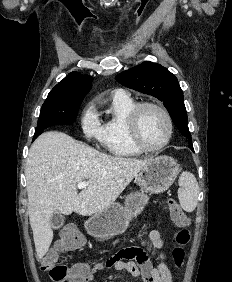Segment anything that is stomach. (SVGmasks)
<instances>
[{"mask_svg":"<svg viewBox=\"0 0 232 282\" xmlns=\"http://www.w3.org/2000/svg\"><path fill=\"white\" fill-rule=\"evenodd\" d=\"M179 173L178 163L170 156H157L138 172L135 179L139 192L131 193L124 205L113 203L85 222L87 233L97 239L111 238L125 232L131 219L141 213L147 204L148 194L165 192Z\"/></svg>","mask_w":232,"mask_h":282,"instance_id":"stomach-1","label":"stomach"}]
</instances>
